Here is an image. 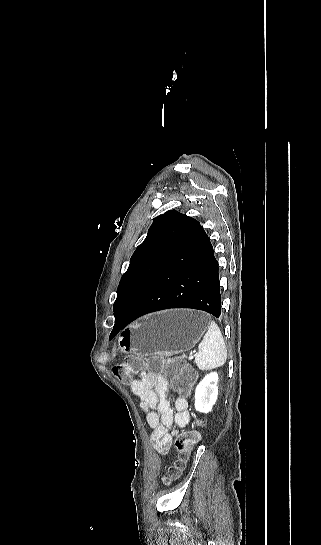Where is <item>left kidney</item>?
<instances>
[{
  "label": "left kidney",
  "instance_id": "obj_1",
  "mask_svg": "<svg viewBox=\"0 0 321 545\" xmlns=\"http://www.w3.org/2000/svg\"><path fill=\"white\" fill-rule=\"evenodd\" d=\"M218 373L206 375L195 389V409L200 413H210L218 397Z\"/></svg>",
  "mask_w": 321,
  "mask_h": 545
}]
</instances>
